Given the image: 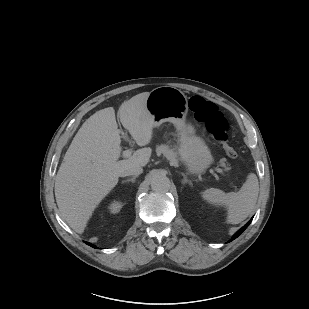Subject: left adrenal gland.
I'll return each mask as SVG.
<instances>
[{
  "mask_svg": "<svg viewBox=\"0 0 309 309\" xmlns=\"http://www.w3.org/2000/svg\"><path fill=\"white\" fill-rule=\"evenodd\" d=\"M181 175L183 176V180H182V183H183V184H187V183H188L190 186L193 185L192 182H191L190 180L187 179V177L185 176L184 173H181Z\"/></svg>",
  "mask_w": 309,
  "mask_h": 309,
  "instance_id": "obj_1",
  "label": "left adrenal gland"
}]
</instances>
